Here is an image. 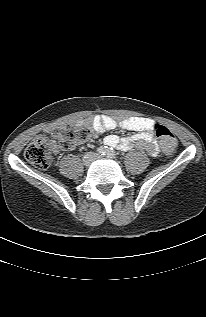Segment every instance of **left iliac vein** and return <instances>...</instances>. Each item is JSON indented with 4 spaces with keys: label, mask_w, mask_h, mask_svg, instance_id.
Segmentation results:
<instances>
[{
    "label": "left iliac vein",
    "mask_w": 206,
    "mask_h": 317,
    "mask_svg": "<svg viewBox=\"0 0 206 317\" xmlns=\"http://www.w3.org/2000/svg\"><path fill=\"white\" fill-rule=\"evenodd\" d=\"M95 158L99 159V158H100V156H95Z\"/></svg>",
    "instance_id": "4c4485c4"
}]
</instances>
